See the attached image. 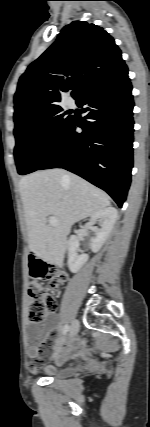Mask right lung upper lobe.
<instances>
[{"label":"right lung upper lobe","instance_id":"obj_1","mask_svg":"<svg viewBox=\"0 0 150 427\" xmlns=\"http://www.w3.org/2000/svg\"><path fill=\"white\" fill-rule=\"evenodd\" d=\"M124 65L120 49L103 28L73 21L20 77L14 97V121L58 106L61 93L68 89H74L72 97L77 102Z\"/></svg>","mask_w":150,"mask_h":427}]
</instances>
